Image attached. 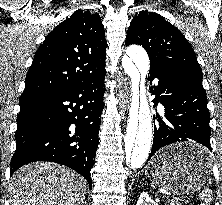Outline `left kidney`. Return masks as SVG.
Segmentation results:
<instances>
[{"mask_svg":"<svg viewBox=\"0 0 222 205\" xmlns=\"http://www.w3.org/2000/svg\"><path fill=\"white\" fill-rule=\"evenodd\" d=\"M136 205H158L155 203L147 193H142Z\"/></svg>","mask_w":222,"mask_h":205,"instance_id":"left-kidney-1","label":"left kidney"}]
</instances>
